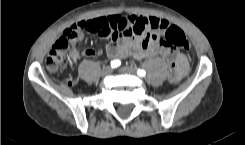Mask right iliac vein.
Segmentation results:
<instances>
[{
  "label": "right iliac vein",
  "mask_w": 245,
  "mask_h": 145,
  "mask_svg": "<svg viewBox=\"0 0 245 145\" xmlns=\"http://www.w3.org/2000/svg\"><path fill=\"white\" fill-rule=\"evenodd\" d=\"M112 72L111 67H104L101 71L102 76H108Z\"/></svg>",
  "instance_id": "obj_1"
}]
</instances>
